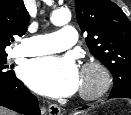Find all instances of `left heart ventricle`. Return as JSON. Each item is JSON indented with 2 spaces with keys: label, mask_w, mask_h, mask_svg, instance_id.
Masks as SVG:
<instances>
[{
  "label": "left heart ventricle",
  "mask_w": 131,
  "mask_h": 115,
  "mask_svg": "<svg viewBox=\"0 0 131 115\" xmlns=\"http://www.w3.org/2000/svg\"><path fill=\"white\" fill-rule=\"evenodd\" d=\"M95 81V75L94 74H89L86 75L84 78H82V83L81 86L84 85H91Z\"/></svg>",
  "instance_id": "1"
}]
</instances>
